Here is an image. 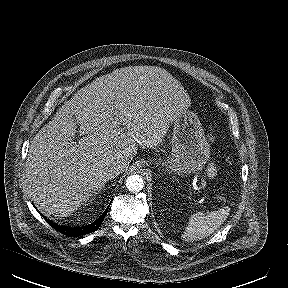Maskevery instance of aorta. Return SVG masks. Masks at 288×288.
<instances>
[{"mask_svg": "<svg viewBox=\"0 0 288 288\" xmlns=\"http://www.w3.org/2000/svg\"><path fill=\"white\" fill-rule=\"evenodd\" d=\"M144 187V180L140 175L133 174L126 179V188L131 192H139Z\"/></svg>", "mask_w": 288, "mask_h": 288, "instance_id": "obj_1", "label": "aorta"}]
</instances>
